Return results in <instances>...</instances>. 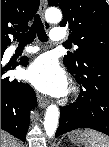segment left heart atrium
Masks as SVG:
<instances>
[{
    "instance_id": "1",
    "label": "left heart atrium",
    "mask_w": 109,
    "mask_h": 147,
    "mask_svg": "<svg viewBox=\"0 0 109 147\" xmlns=\"http://www.w3.org/2000/svg\"><path fill=\"white\" fill-rule=\"evenodd\" d=\"M27 78L36 88L52 96H63L69 89L64 69L51 55L38 58L28 69Z\"/></svg>"
}]
</instances>
